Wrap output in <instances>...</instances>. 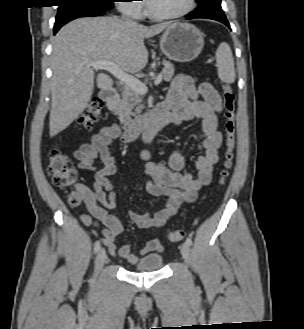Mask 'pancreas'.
I'll return each mask as SVG.
<instances>
[{
    "label": "pancreas",
    "instance_id": "1",
    "mask_svg": "<svg viewBox=\"0 0 304 329\" xmlns=\"http://www.w3.org/2000/svg\"><path fill=\"white\" fill-rule=\"evenodd\" d=\"M163 65L162 76L164 81L168 82L174 75V66L169 61H164ZM121 96L122 98L116 103L115 114L119 117L124 128H131L135 121L141 118L142 97L140 93L129 86L123 88ZM132 117H135V120Z\"/></svg>",
    "mask_w": 304,
    "mask_h": 329
}]
</instances>
